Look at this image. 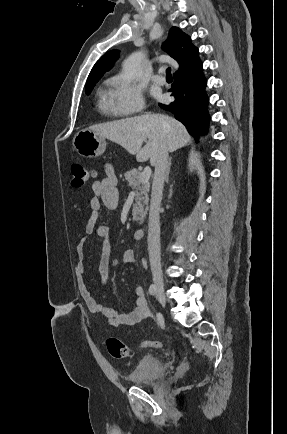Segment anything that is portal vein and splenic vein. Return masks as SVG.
<instances>
[{
	"instance_id": "18ae733b",
	"label": "portal vein and splenic vein",
	"mask_w": 287,
	"mask_h": 434,
	"mask_svg": "<svg viewBox=\"0 0 287 434\" xmlns=\"http://www.w3.org/2000/svg\"><path fill=\"white\" fill-rule=\"evenodd\" d=\"M150 176H151V168L149 166H146L144 168L143 172L141 173L140 182L141 183L148 182V180L150 179Z\"/></svg>"
}]
</instances>
